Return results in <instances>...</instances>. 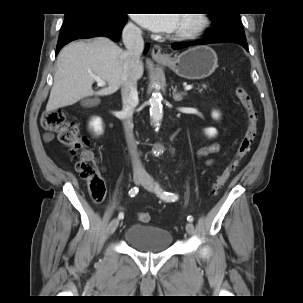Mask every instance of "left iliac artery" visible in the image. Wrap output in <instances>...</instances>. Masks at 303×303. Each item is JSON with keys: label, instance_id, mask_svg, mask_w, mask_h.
Here are the masks:
<instances>
[{"label": "left iliac artery", "instance_id": "left-iliac-artery-1", "mask_svg": "<svg viewBox=\"0 0 303 303\" xmlns=\"http://www.w3.org/2000/svg\"><path fill=\"white\" fill-rule=\"evenodd\" d=\"M156 193L158 196H160L162 199L164 200H171V201H176L178 199V195L173 194V193H169V192H161L158 190H156ZM187 220L189 222L193 221V217L192 216H188Z\"/></svg>", "mask_w": 303, "mask_h": 303}]
</instances>
